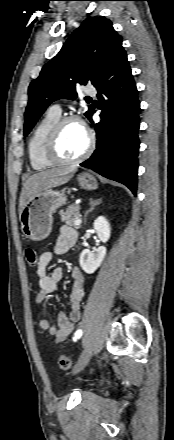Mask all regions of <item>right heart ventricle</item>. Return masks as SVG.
I'll use <instances>...</instances> for the list:
<instances>
[{
	"label": "right heart ventricle",
	"mask_w": 174,
	"mask_h": 440,
	"mask_svg": "<svg viewBox=\"0 0 174 440\" xmlns=\"http://www.w3.org/2000/svg\"><path fill=\"white\" fill-rule=\"evenodd\" d=\"M60 119L59 115L47 112L34 127L28 140V156L31 167L36 171H43L55 166L45 153L47 137L54 124Z\"/></svg>",
	"instance_id": "1"
}]
</instances>
